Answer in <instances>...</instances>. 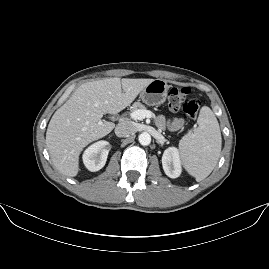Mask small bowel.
Here are the masks:
<instances>
[{"label": "small bowel", "mask_w": 269, "mask_h": 269, "mask_svg": "<svg viewBox=\"0 0 269 269\" xmlns=\"http://www.w3.org/2000/svg\"><path fill=\"white\" fill-rule=\"evenodd\" d=\"M158 122L160 125H164L165 123V120L163 117H159L158 118ZM183 125V119H176L172 122V127L175 128V129H178L180 128L181 126Z\"/></svg>", "instance_id": "1"}]
</instances>
